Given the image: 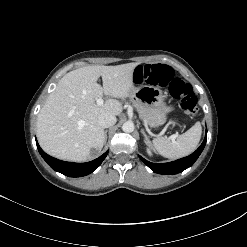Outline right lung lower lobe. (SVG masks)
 <instances>
[{
  "mask_svg": "<svg viewBox=\"0 0 247 247\" xmlns=\"http://www.w3.org/2000/svg\"><path fill=\"white\" fill-rule=\"evenodd\" d=\"M37 148L43 159L48 163V165L57 172H60L69 177H82L92 173L96 170L103 160L106 158L108 151L103 155L98 157L97 159L86 162V163H73V162H65L53 158L46 154L39 146L36 140Z\"/></svg>",
  "mask_w": 247,
  "mask_h": 247,
  "instance_id": "right-lung-lower-lobe-1",
  "label": "right lung lower lobe"
}]
</instances>
